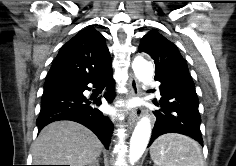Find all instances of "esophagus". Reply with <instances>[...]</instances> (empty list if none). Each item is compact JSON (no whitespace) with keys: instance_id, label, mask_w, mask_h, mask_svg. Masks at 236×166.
Listing matches in <instances>:
<instances>
[{"instance_id":"34e87169","label":"esophagus","mask_w":236,"mask_h":166,"mask_svg":"<svg viewBox=\"0 0 236 166\" xmlns=\"http://www.w3.org/2000/svg\"><path fill=\"white\" fill-rule=\"evenodd\" d=\"M128 94L126 96L127 100H131L139 95L140 93V85L137 79L134 76H131L128 81ZM142 114V110L140 107H133L129 111V119H128V126L132 127L139 117Z\"/></svg>"}]
</instances>
